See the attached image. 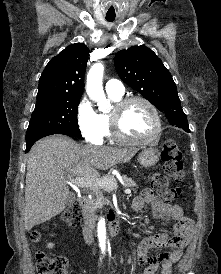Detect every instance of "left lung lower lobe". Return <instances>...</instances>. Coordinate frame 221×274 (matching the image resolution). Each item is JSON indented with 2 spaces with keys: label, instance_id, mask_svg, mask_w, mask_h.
Listing matches in <instances>:
<instances>
[{
  "label": "left lung lower lobe",
  "instance_id": "left-lung-lower-lobe-1",
  "mask_svg": "<svg viewBox=\"0 0 221 274\" xmlns=\"http://www.w3.org/2000/svg\"><path fill=\"white\" fill-rule=\"evenodd\" d=\"M173 126H174V125H173ZM177 127L181 128V129H183V130H185L186 132H190V129H189L188 126H180V125H178Z\"/></svg>",
  "mask_w": 221,
  "mask_h": 274
}]
</instances>
